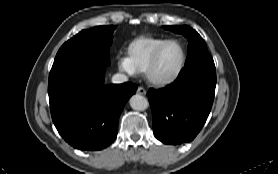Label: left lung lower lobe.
<instances>
[{"label": "left lung lower lobe", "instance_id": "obj_1", "mask_svg": "<svg viewBox=\"0 0 278 174\" xmlns=\"http://www.w3.org/2000/svg\"><path fill=\"white\" fill-rule=\"evenodd\" d=\"M215 86L216 74L198 71L179 75L165 88L150 89L155 137L173 145L192 141L210 113Z\"/></svg>", "mask_w": 278, "mask_h": 174}]
</instances>
